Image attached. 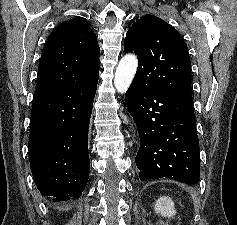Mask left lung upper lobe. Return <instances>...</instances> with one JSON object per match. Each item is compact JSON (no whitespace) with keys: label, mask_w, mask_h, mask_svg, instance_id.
<instances>
[{"label":"left lung upper lobe","mask_w":237,"mask_h":225,"mask_svg":"<svg viewBox=\"0 0 237 225\" xmlns=\"http://www.w3.org/2000/svg\"><path fill=\"white\" fill-rule=\"evenodd\" d=\"M124 51L138 57L133 83L141 89L192 96L187 45L180 33L162 19L150 14L138 19L126 34Z\"/></svg>","instance_id":"left-lung-upper-lobe-1"}]
</instances>
